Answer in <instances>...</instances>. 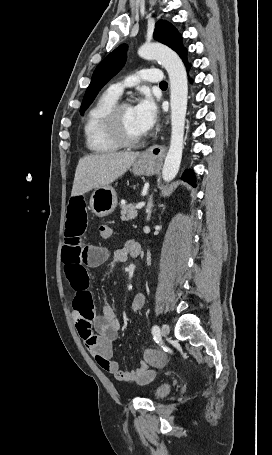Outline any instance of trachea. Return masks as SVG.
Listing matches in <instances>:
<instances>
[{"label":"trachea","mask_w":272,"mask_h":455,"mask_svg":"<svg viewBox=\"0 0 272 455\" xmlns=\"http://www.w3.org/2000/svg\"><path fill=\"white\" fill-rule=\"evenodd\" d=\"M167 86H168V84H167V82H165V81H163V82L160 83V87H167Z\"/></svg>","instance_id":"1"}]
</instances>
